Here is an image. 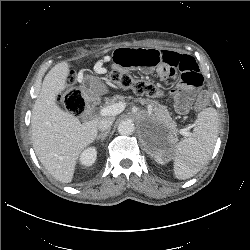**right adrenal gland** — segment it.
Listing matches in <instances>:
<instances>
[{"instance_id":"right-adrenal-gland-1","label":"right adrenal gland","mask_w":250,"mask_h":250,"mask_svg":"<svg viewBox=\"0 0 250 250\" xmlns=\"http://www.w3.org/2000/svg\"><path fill=\"white\" fill-rule=\"evenodd\" d=\"M108 133H109V131L99 134V135L96 137V140L101 139V140L103 141V140L107 137Z\"/></svg>"}]
</instances>
